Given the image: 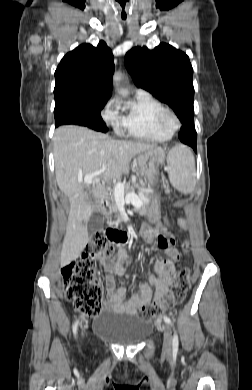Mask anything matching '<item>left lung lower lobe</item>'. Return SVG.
I'll list each match as a JSON object with an SVG mask.
<instances>
[{"instance_id": "left-lung-lower-lobe-1", "label": "left lung lower lobe", "mask_w": 252, "mask_h": 390, "mask_svg": "<svg viewBox=\"0 0 252 390\" xmlns=\"http://www.w3.org/2000/svg\"><path fill=\"white\" fill-rule=\"evenodd\" d=\"M179 139L197 152V133L195 131L194 121L188 120L182 123Z\"/></svg>"}]
</instances>
